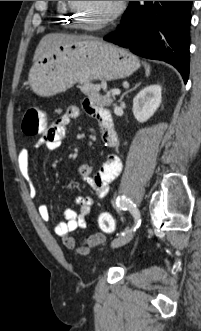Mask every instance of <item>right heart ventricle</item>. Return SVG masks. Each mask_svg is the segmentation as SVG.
Here are the masks:
<instances>
[{
	"label": "right heart ventricle",
	"mask_w": 201,
	"mask_h": 331,
	"mask_svg": "<svg viewBox=\"0 0 201 331\" xmlns=\"http://www.w3.org/2000/svg\"><path fill=\"white\" fill-rule=\"evenodd\" d=\"M57 11L59 19L65 20L63 22H67V26H76L77 24H80L76 19L75 13L69 6V1H57Z\"/></svg>",
	"instance_id": "right-heart-ventricle-1"
}]
</instances>
